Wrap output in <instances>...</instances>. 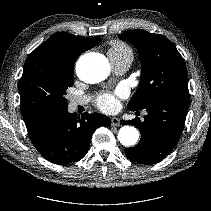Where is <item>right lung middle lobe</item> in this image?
<instances>
[{
  "label": "right lung middle lobe",
  "mask_w": 211,
  "mask_h": 211,
  "mask_svg": "<svg viewBox=\"0 0 211 211\" xmlns=\"http://www.w3.org/2000/svg\"><path fill=\"white\" fill-rule=\"evenodd\" d=\"M73 83V68L56 63L46 53L30 54L19 81L21 107L38 116L66 109L64 96Z\"/></svg>",
  "instance_id": "1"
}]
</instances>
